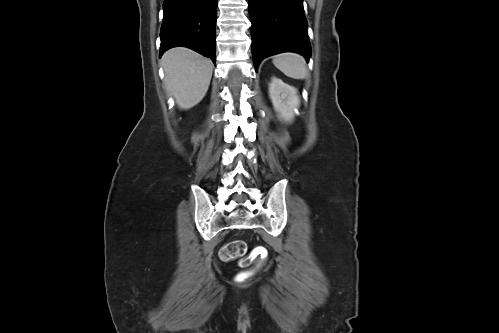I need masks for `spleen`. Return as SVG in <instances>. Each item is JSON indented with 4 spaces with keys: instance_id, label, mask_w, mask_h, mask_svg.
<instances>
[{
    "instance_id": "3e777b00",
    "label": "spleen",
    "mask_w": 499,
    "mask_h": 333,
    "mask_svg": "<svg viewBox=\"0 0 499 333\" xmlns=\"http://www.w3.org/2000/svg\"><path fill=\"white\" fill-rule=\"evenodd\" d=\"M273 64L286 76L294 79L307 77L305 59L296 53H282L273 58Z\"/></svg>"
}]
</instances>
